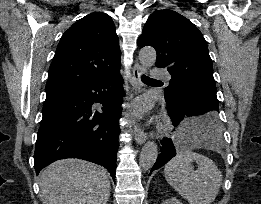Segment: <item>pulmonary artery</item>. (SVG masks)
Instances as JSON below:
<instances>
[{"label":"pulmonary artery","mask_w":261,"mask_h":204,"mask_svg":"<svg viewBox=\"0 0 261 204\" xmlns=\"http://www.w3.org/2000/svg\"><path fill=\"white\" fill-rule=\"evenodd\" d=\"M151 75L153 78L164 79L166 81H169L171 78L169 73L161 68H153Z\"/></svg>","instance_id":"e3ab8cb5"}]
</instances>
